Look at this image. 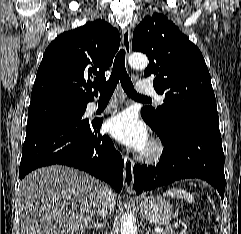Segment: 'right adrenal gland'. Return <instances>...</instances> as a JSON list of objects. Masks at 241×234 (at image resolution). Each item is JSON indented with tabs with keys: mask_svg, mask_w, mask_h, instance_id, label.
<instances>
[{
	"mask_svg": "<svg viewBox=\"0 0 241 234\" xmlns=\"http://www.w3.org/2000/svg\"><path fill=\"white\" fill-rule=\"evenodd\" d=\"M103 226H104V221L103 222L97 221L96 223L91 224L88 229L94 228L97 231V230L101 229Z\"/></svg>",
	"mask_w": 241,
	"mask_h": 234,
	"instance_id": "right-adrenal-gland-1",
	"label": "right adrenal gland"
}]
</instances>
